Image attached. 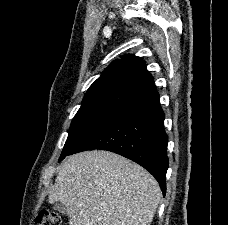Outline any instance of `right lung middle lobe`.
I'll use <instances>...</instances> for the list:
<instances>
[{
    "label": "right lung middle lobe",
    "instance_id": "right-lung-middle-lobe-1",
    "mask_svg": "<svg viewBox=\"0 0 228 225\" xmlns=\"http://www.w3.org/2000/svg\"><path fill=\"white\" fill-rule=\"evenodd\" d=\"M141 89L123 83L89 88L75 115L59 161L94 127L136 96Z\"/></svg>",
    "mask_w": 228,
    "mask_h": 225
}]
</instances>
